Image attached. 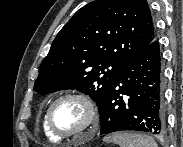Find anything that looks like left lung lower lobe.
Listing matches in <instances>:
<instances>
[{
    "label": "left lung lower lobe",
    "instance_id": "obj_1",
    "mask_svg": "<svg viewBox=\"0 0 183 147\" xmlns=\"http://www.w3.org/2000/svg\"><path fill=\"white\" fill-rule=\"evenodd\" d=\"M99 112L101 134L122 130L164 133L161 56L156 38L122 68Z\"/></svg>",
    "mask_w": 183,
    "mask_h": 147
}]
</instances>
